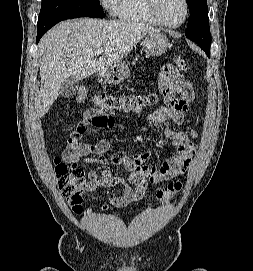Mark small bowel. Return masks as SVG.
I'll list each match as a JSON object with an SVG mask.
<instances>
[{
  "label": "small bowel",
  "mask_w": 253,
  "mask_h": 271,
  "mask_svg": "<svg viewBox=\"0 0 253 271\" xmlns=\"http://www.w3.org/2000/svg\"><path fill=\"white\" fill-rule=\"evenodd\" d=\"M184 82L185 80L172 65L164 66L160 72L158 83L163 105L149 114L145 121L138 126L140 130H145L148 124L157 126L176 148V152L162 165L156 167L146 163L147 151H141L132 157L125 152H116L111 157V163L127 170L129 172L128 179H122L106 169L90 170L88 172V191L122 184L124 186L123 193L121 195L111 194L108 196V200L116 206H124L140 200L149 183L169 181L186 171L196 150L191 139L195 137V131L190 127H187L185 131L169 127V123L186 124L185 115L194 99V91L182 88L181 85ZM114 125L113 115L88 111L67 138L63 158L66 161L78 162L82 160L86 164L107 163L106 153L109 150L107 139L102 138L93 144L83 143L80 140L89 126L113 128Z\"/></svg>",
  "instance_id": "small-bowel-1"
}]
</instances>
